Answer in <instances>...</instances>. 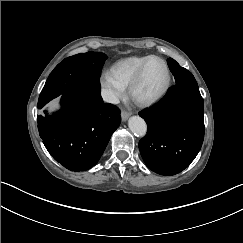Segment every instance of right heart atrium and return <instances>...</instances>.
Returning <instances> with one entry per match:
<instances>
[{
	"label": "right heart atrium",
	"instance_id": "right-heart-atrium-1",
	"mask_svg": "<svg viewBox=\"0 0 243 243\" xmlns=\"http://www.w3.org/2000/svg\"><path fill=\"white\" fill-rule=\"evenodd\" d=\"M98 86L101 98L109 104H118L128 95L127 89L117 78L112 66L103 67L100 70Z\"/></svg>",
	"mask_w": 243,
	"mask_h": 243
}]
</instances>
